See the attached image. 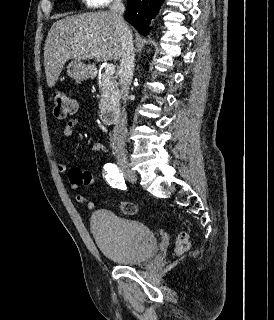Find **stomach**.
Returning <instances> with one entry per match:
<instances>
[{
	"mask_svg": "<svg viewBox=\"0 0 274 320\" xmlns=\"http://www.w3.org/2000/svg\"><path fill=\"white\" fill-rule=\"evenodd\" d=\"M71 74L73 78H77V80H86V78H89L91 76V66H85V64H82V62H79V60H73L71 62Z\"/></svg>",
	"mask_w": 274,
	"mask_h": 320,
	"instance_id": "1",
	"label": "stomach"
}]
</instances>
